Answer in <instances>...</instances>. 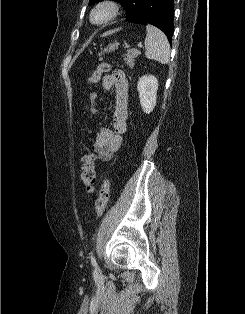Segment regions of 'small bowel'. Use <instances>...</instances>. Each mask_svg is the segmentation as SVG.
I'll return each instance as SVG.
<instances>
[{
    "label": "small bowel",
    "mask_w": 245,
    "mask_h": 314,
    "mask_svg": "<svg viewBox=\"0 0 245 314\" xmlns=\"http://www.w3.org/2000/svg\"><path fill=\"white\" fill-rule=\"evenodd\" d=\"M106 91L114 89L115 107L113 129L100 128L92 145L94 156L102 162L109 161L119 150L123 135L127 132L128 117V80L124 70H115L102 79Z\"/></svg>",
    "instance_id": "obj_1"
}]
</instances>
